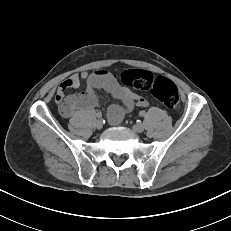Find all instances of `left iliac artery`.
<instances>
[{
  "label": "left iliac artery",
  "mask_w": 231,
  "mask_h": 231,
  "mask_svg": "<svg viewBox=\"0 0 231 231\" xmlns=\"http://www.w3.org/2000/svg\"><path fill=\"white\" fill-rule=\"evenodd\" d=\"M146 115V112L143 110L140 112V116L144 117Z\"/></svg>",
  "instance_id": "1"
}]
</instances>
